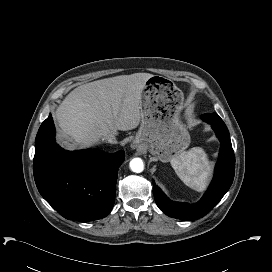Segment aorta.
I'll use <instances>...</instances> for the list:
<instances>
[{
  "label": "aorta",
  "mask_w": 272,
  "mask_h": 272,
  "mask_svg": "<svg viewBox=\"0 0 272 272\" xmlns=\"http://www.w3.org/2000/svg\"><path fill=\"white\" fill-rule=\"evenodd\" d=\"M130 168L135 173H140L144 170V163L141 158H134L130 161Z\"/></svg>",
  "instance_id": "762f6f07"
}]
</instances>
